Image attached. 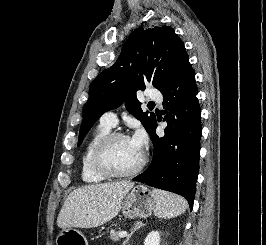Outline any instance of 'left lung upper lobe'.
Wrapping results in <instances>:
<instances>
[{"instance_id":"5c2ea615","label":"left lung upper lobe","mask_w":266,"mask_h":245,"mask_svg":"<svg viewBox=\"0 0 266 245\" xmlns=\"http://www.w3.org/2000/svg\"><path fill=\"white\" fill-rule=\"evenodd\" d=\"M185 58L188 55L184 43L171 27L135 29L116 63L101 72L90 84L78 146L104 112L117 108L123 102L148 132L155 115L142 111L136 92L143 90L146 82H151L161 91Z\"/></svg>"}]
</instances>
